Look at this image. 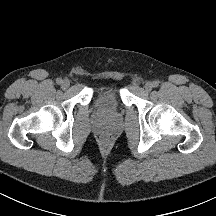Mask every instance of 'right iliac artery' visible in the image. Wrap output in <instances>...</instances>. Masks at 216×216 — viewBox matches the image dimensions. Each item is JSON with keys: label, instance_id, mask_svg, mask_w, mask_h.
I'll return each instance as SVG.
<instances>
[{"label": "right iliac artery", "instance_id": "82829eb1", "mask_svg": "<svg viewBox=\"0 0 216 216\" xmlns=\"http://www.w3.org/2000/svg\"><path fill=\"white\" fill-rule=\"evenodd\" d=\"M56 83H57V84H61V83H62V79H61V78H57V79H56Z\"/></svg>", "mask_w": 216, "mask_h": 216}]
</instances>
